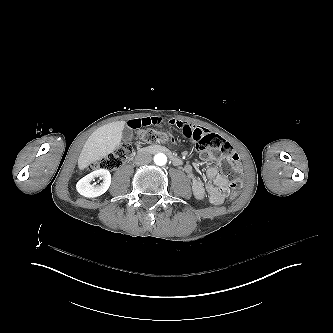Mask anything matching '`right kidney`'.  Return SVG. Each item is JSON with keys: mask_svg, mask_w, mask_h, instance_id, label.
Returning a JSON list of instances; mask_svg holds the SVG:
<instances>
[{"mask_svg": "<svg viewBox=\"0 0 333 333\" xmlns=\"http://www.w3.org/2000/svg\"><path fill=\"white\" fill-rule=\"evenodd\" d=\"M95 177H101L102 184L100 186L91 184V181ZM110 185V172L107 169H98L81 178L76 184V190L83 197L95 198L103 195L109 189Z\"/></svg>", "mask_w": 333, "mask_h": 333, "instance_id": "right-kidney-1", "label": "right kidney"}]
</instances>
